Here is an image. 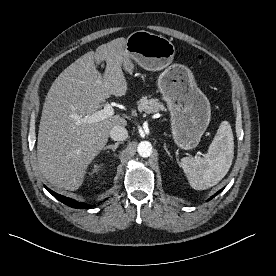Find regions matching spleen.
<instances>
[{"label":"spleen","mask_w":276,"mask_h":276,"mask_svg":"<svg viewBox=\"0 0 276 276\" xmlns=\"http://www.w3.org/2000/svg\"><path fill=\"white\" fill-rule=\"evenodd\" d=\"M234 157V137L230 123L223 121L205 157H184L180 161L192 188L204 190L219 183L229 171Z\"/></svg>","instance_id":"spleen-1"}]
</instances>
